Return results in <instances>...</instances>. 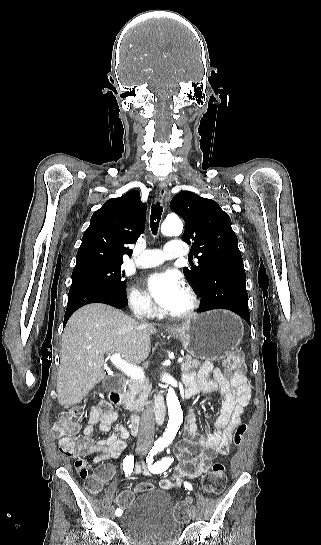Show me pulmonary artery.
Segmentation results:
<instances>
[{
  "instance_id": "pulmonary-artery-1",
  "label": "pulmonary artery",
  "mask_w": 321,
  "mask_h": 545,
  "mask_svg": "<svg viewBox=\"0 0 321 545\" xmlns=\"http://www.w3.org/2000/svg\"><path fill=\"white\" fill-rule=\"evenodd\" d=\"M164 250L148 249L142 252V259L133 261L132 264L136 268L144 269L157 266L166 261H180L182 258L181 243L179 241H167ZM185 259L191 258L190 252L184 253Z\"/></svg>"
}]
</instances>
